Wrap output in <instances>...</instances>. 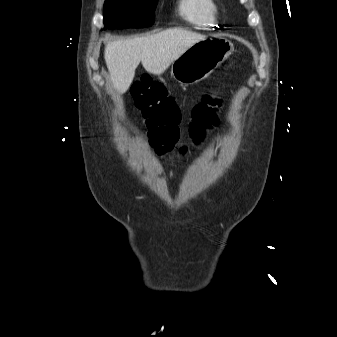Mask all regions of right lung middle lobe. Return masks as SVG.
<instances>
[{
	"instance_id": "1",
	"label": "right lung middle lobe",
	"mask_w": 337,
	"mask_h": 337,
	"mask_svg": "<svg viewBox=\"0 0 337 337\" xmlns=\"http://www.w3.org/2000/svg\"><path fill=\"white\" fill-rule=\"evenodd\" d=\"M158 0H106L104 29L148 27L154 23Z\"/></svg>"
}]
</instances>
